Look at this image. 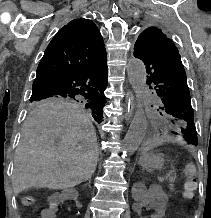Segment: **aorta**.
I'll return each instance as SVG.
<instances>
[{"mask_svg": "<svg viewBox=\"0 0 211 218\" xmlns=\"http://www.w3.org/2000/svg\"><path fill=\"white\" fill-rule=\"evenodd\" d=\"M130 85L137 99V110L123 142V156L132 155L140 146L146 132L143 99L146 90V68L139 59H131L127 66Z\"/></svg>", "mask_w": 211, "mask_h": 218, "instance_id": "obj_1", "label": "aorta"}]
</instances>
